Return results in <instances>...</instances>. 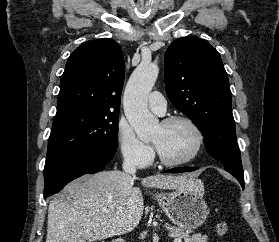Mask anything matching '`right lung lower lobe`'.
I'll use <instances>...</instances> for the list:
<instances>
[{
    "label": "right lung lower lobe",
    "instance_id": "1",
    "mask_svg": "<svg viewBox=\"0 0 279 242\" xmlns=\"http://www.w3.org/2000/svg\"><path fill=\"white\" fill-rule=\"evenodd\" d=\"M116 151H84L60 159L44 168V198L59 192L67 183L84 175L102 171Z\"/></svg>",
    "mask_w": 279,
    "mask_h": 242
}]
</instances>
